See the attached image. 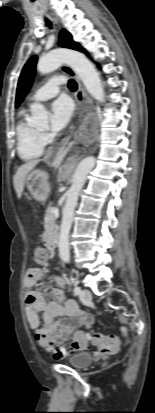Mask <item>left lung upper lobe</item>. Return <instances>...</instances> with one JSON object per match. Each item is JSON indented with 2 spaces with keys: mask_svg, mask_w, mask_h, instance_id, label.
Returning a JSON list of instances; mask_svg holds the SVG:
<instances>
[{
  "mask_svg": "<svg viewBox=\"0 0 155 413\" xmlns=\"http://www.w3.org/2000/svg\"><path fill=\"white\" fill-rule=\"evenodd\" d=\"M59 45L61 47H66L74 50H78L84 53H87L78 43L74 42L72 39V36L69 32L66 30H62L60 32L59 36ZM37 62V56H33L30 58L25 66L23 67V70L21 72L19 81H18V86H17V94H16V102L15 106L18 107L24 97L26 96L27 92L29 91L32 82H33V77L35 74V66Z\"/></svg>",
  "mask_w": 155,
  "mask_h": 413,
  "instance_id": "5c2ea615",
  "label": "left lung upper lobe"
}]
</instances>
